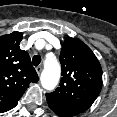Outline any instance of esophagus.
I'll return each instance as SVG.
<instances>
[{
  "label": "esophagus",
  "mask_w": 117,
  "mask_h": 117,
  "mask_svg": "<svg viewBox=\"0 0 117 117\" xmlns=\"http://www.w3.org/2000/svg\"><path fill=\"white\" fill-rule=\"evenodd\" d=\"M36 72L38 73V75H40V73L42 72V66L36 67Z\"/></svg>",
  "instance_id": "34e87169"
}]
</instances>
